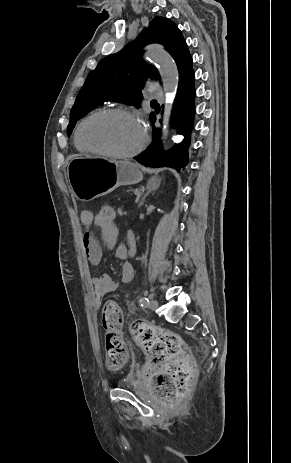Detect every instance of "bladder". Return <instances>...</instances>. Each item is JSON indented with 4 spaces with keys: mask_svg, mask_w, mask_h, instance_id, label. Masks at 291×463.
I'll return each mask as SVG.
<instances>
[{
    "mask_svg": "<svg viewBox=\"0 0 291 463\" xmlns=\"http://www.w3.org/2000/svg\"><path fill=\"white\" fill-rule=\"evenodd\" d=\"M120 386L124 388H137L140 386L139 380L135 377L134 374L127 375L120 381Z\"/></svg>",
    "mask_w": 291,
    "mask_h": 463,
    "instance_id": "obj_1",
    "label": "bladder"
}]
</instances>
